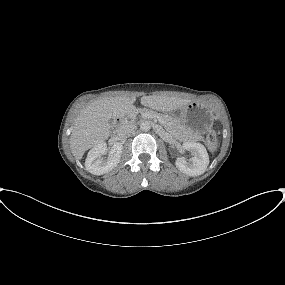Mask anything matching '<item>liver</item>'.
<instances>
[{
    "mask_svg": "<svg viewBox=\"0 0 285 285\" xmlns=\"http://www.w3.org/2000/svg\"><path fill=\"white\" fill-rule=\"evenodd\" d=\"M140 100L142 105L161 112L174 111L191 102L190 99L173 96H142ZM135 101L134 95L105 97L82 109L70 135L73 156L80 160L88 149L108 139L111 134L109 120L133 113Z\"/></svg>",
    "mask_w": 285,
    "mask_h": 285,
    "instance_id": "liver-1",
    "label": "liver"
}]
</instances>
